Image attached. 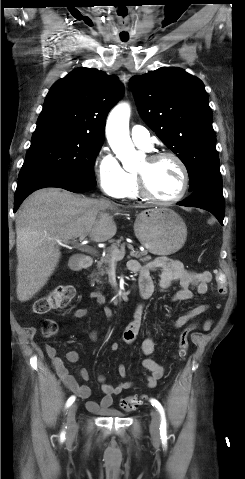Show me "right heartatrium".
<instances>
[{
	"mask_svg": "<svg viewBox=\"0 0 245 479\" xmlns=\"http://www.w3.org/2000/svg\"><path fill=\"white\" fill-rule=\"evenodd\" d=\"M96 172L102 191L110 197H121L127 183L126 172L110 150L99 154Z\"/></svg>",
	"mask_w": 245,
	"mask_h": 479,
	"instance_id": "d8ad5b80",
	"label": "right heart atrium"
}]
</instances>
